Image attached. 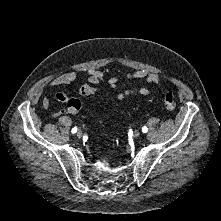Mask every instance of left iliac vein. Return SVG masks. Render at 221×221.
Segmentation results:
<instances>
[{"label":"left iliac vein","instance_id":"obj_1","mask_svg":"<svg viewBox=\"0 0 221 221\" xmlns=\"http://www.w3.org/2000/svg\"><path fill=\"white\" fill-rule=\"evenodd\" d=\"M133 136L135 138L139 137L140 136V132L139 131H134Z\"/></svg>","mask_w":221,"mask_h":221}]
</instances>
